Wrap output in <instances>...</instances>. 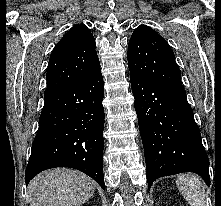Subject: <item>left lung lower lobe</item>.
<instances>
[{"label":"left lung lower lobe","instance_id":"1","mask_svg":"<svg viewBox=\"0 0 221 206\" xmlns=\"http://www.w3.org/2000/svg\"><path fill=\"white\" fill-rule=\"evenodd\" d=\"M144 147L148 188L159 177L199 174L210 185L209 160L185 90L130 74Z\"/></svg>","mask_w":221,"mask_h":206}]
</instances>
